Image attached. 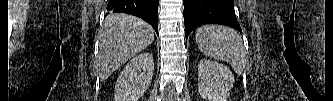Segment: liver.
<instances>
[{"mask_svg":"<svg viewBox=\"0 0 333 101\" xmlns=\"http://www.w3.org/2000/svg\"><path fill=\"white\" fill-rule=\"evenodd\" d=\"M154 40L152 27L132 15L110 14L103 22L96 69L101 81Z\"/></svg>","mask_w":333,"mask_h":101,"instance_id":"6515ba94","label":"liver"}]
</instances>
